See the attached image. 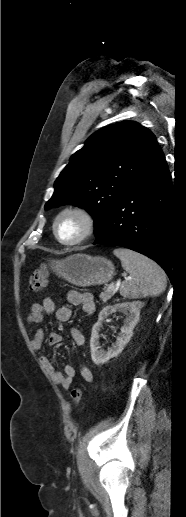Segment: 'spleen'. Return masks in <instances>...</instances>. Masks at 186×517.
Masks as SVG:
<instances>
[{
    "instance_id": "1",
    "label": "spleen",
    "mask_w": 186,
    "mask_h": 517,
    "mask_svg": "<svg viewBox=\"0 0 186 517\" xmlns=\"http://www.w3.org/2000/svg\"><path fill=\"white\" fill-rule=\"evenodd\" d=\"M113 253L121 260L122 267L129 273L120 287V294L124 298L155 297L163 293L167 281L166 274L159 265L129 249L118 248Z\"/></svg>"
}]
</instances>
